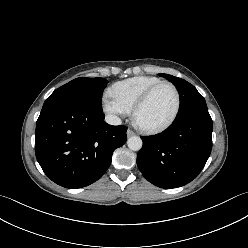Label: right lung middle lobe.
I'll use <instances>...</instances> for the list:
<instances>
[{
  "label": "right lung middle lobe",
  "mask_w": 248,
  "mask_h": 248,
  "mask_svg": "<svg viewBox=\"0 0 248 248\" xmlns=\"http://www.w3.org/2000/svg\"><path fill=\"white\" fill-rule=\"evenodd\" d=\"M107 83L108 81L104 78H76L56 89L46 99L44 105L70 101L85 104L94 110L102 111L101 94Z\"/></svg>",
  "instance_id": "right-lung-middle-lobe-1"
}]
</instances>
